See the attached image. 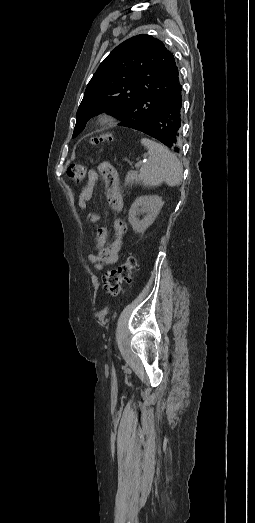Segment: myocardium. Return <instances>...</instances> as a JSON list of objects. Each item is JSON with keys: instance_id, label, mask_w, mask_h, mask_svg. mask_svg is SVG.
<instances>
[{"instance_id": "f54148a6", "label": "myocardium", "mask_w": 255, "mask_h": 523, "mask_svg": "<svg viewBox=\"0 0 255 523\" xmlns=\"http://www.w3.org/2000/svg\"><path fill=\"white\" fill-rule=\"evenodd\" d=\"M110 121V119L107 117V116H100L98 119H97V124L98 125H106L108 124Z\"/></svg>"}]
</instances>
